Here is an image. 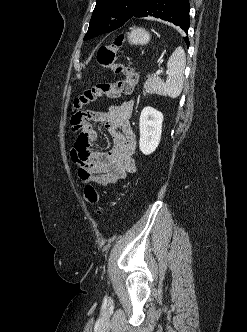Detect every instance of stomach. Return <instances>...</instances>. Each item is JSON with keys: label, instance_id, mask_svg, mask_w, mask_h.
<instances>
[{"label": "stomach", "instance_id": "stomach-1", "mask_svg": "<svg viewBox=\"0 0 247 332\" xmlns=\"http://www.w3.org/2000/svg\"><path fill=\"white\" fill-rule=\"evenodd\" d=\"M150 33L143 28L134 27L127 36L131 45H146L150 41Z\"/></svg>", "mask_w": 247, "mask_h": 332}]
</instances>
